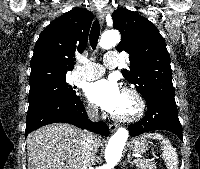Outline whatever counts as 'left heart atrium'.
Returning <instances> with one entry per match:
<instances>
[{
    "mask_svg": "<svg viewBox=\"0 0 200 169\" xmlns=\"http://www.w3.org/2000/svg\"><path fill=\"white\" fill-rule=\"evenodd\" d=\"M122 91L113 79H100L89 84L85 90L87 98L101 109L116 115Z\"/></svg>",
    "mask_w": 200,
    "mask_h": 169,
    "instance_id": "obj_1",
    "label": "left heart atrium"
}]
</instances>
